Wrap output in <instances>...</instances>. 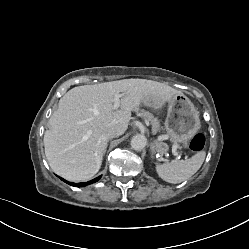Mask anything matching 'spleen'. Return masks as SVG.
I'll use <instances>...</instances> for the list:
<instances>
[{
    "label": "spleen",
    "instance_id": "spleen-1",
    "mask_svg": "<svg viewBox=\"0 0 249 249\" xmlns=\"http://www.w3.org/2000/svg\"><path fill=\"white\" fill-rule=\"evenodd\" d=\"M206 153L200 151L186 160H173L168 163L156 165V171L164 181L177 184L194 175L202 166Z\"/></svg>",
    "mask_w": 249,
    "mask_h": 249
}]
</instances>
